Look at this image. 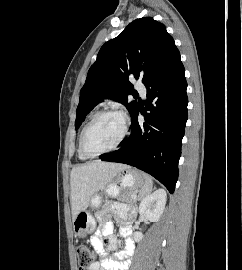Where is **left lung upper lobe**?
<instances>
[{"label":"left lung upper lobe","mask_w":242,"mask_h":270,"mask_svg":"<svg viewBox=\"0 0 242 270\" xmlns=\"http://www.w3.org/2000/svg\"><path fill=\"white\" fill-rule=\"evenodd\" d=\"M178 56L174 40L162 23L152 17L134 20L101 47L80 91L75 127L104 98L124 104L132 117L138 106L136 101L128 102L134 88L129 76L146 84Z\"/></svg>","instance_id":"obj_1"}]
</instances>
